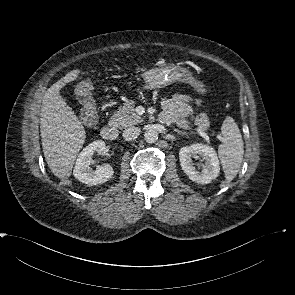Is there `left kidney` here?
I'll use <instances>...</instances> for the list:
<instances>
[{"instance_id":"1","label":"left kidney","mask_w":295,"mask_h":295,"mask_svg":"<svg viewBox=\"0 0 295 295\" xmlns=\"http://www.w3.org/2000/svg\"><path fill=\"white\" fill-rule=\"evenodd\" d=\"M192 158H201L204 161L202 170L196 169ZM179 160L182 170L194 182L208 184L219 175L220 166L217 154L208 145L197 143L182 147L179 152Z\"/></svg>"}]
</instances>
